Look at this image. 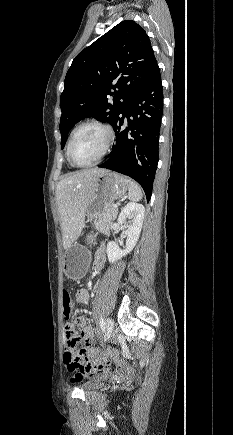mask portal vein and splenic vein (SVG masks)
Instances as JSON below:
<instances>
[{"instance_id": "obj_1", "label": "portal vein and splenic vein", "mask_w": 233, "mask_h": 435, "mask_svg": "<svg viewBox=\"0 0 233 435\" xmlns=\"http://www.w3.org/2000/svg\"><path fill=\"white\" fill-rule=\"evenodd\" d=\"M114 208H118V206L116 204L113 205Z\"/></svg>"}]
</instances>
